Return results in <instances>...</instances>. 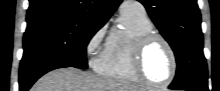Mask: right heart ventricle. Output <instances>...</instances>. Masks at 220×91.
Listing matches in <instances>:
<instances>
[{
  "instance_id": "right-heart-ventricle-1",
  "label": "right heart ventricle",
  "mask_w": 220,
  "mask_h": 91,
  "mask_svg": "<svg viewBox=\"0 0 220 91\" xmlns=\"http://www.w3.org/2000/svg\"><path fill=\"white\" fill-rule=\"evenodd\" d=\"M121 27L109 35L106 45L96 62L99 74L129 84H140L134 72L132 52L135 42L153 32V24L145 14L121 13Z\"/></svg>"
}]
</instances>
